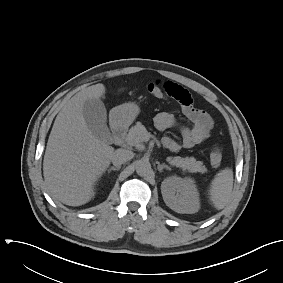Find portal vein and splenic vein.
<instances>
[{
    "label": "portal vein and splenic vein",
    "mask_w": 283,
    "mask_h": 283,
    "mask_svg": "<svg viewBox=\"0 0 283 283\" xmlns=\"http://www.w3.org/2000/svg\"><path fill=\"white\" fill-rule=\"evenodd\" d=\"M145 139L148 140L149 139L148 136H145Z\"/></svg>",
    "instance_id": "1"
}]
</instances>
